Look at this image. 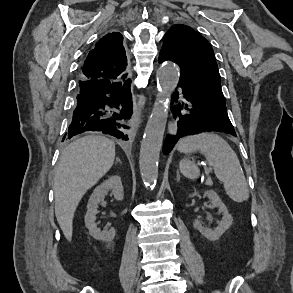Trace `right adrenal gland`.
<instances>
[{"label":"right adrenal gland","mask_w":293,"mask_h":293,"mask_svg":"<svg viewBox=\"0 0 293 293\" xmlns=\"http://www.w3.org/2000/svg\"><path fill=\"white\" fill-rule=\"evenodd\" d=\"M117 163H122L121 160L119 158H116V164Z\"/></svg>","instance_id":"2a0ac1e0"}]
</instances>
